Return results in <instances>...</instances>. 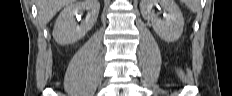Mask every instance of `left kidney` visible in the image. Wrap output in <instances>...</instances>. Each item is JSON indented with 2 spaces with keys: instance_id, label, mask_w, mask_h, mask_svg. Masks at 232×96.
<instances>
[{
  "instance_id": "left-kidney-1",
  "label": "left kidney",
  "mask_w": 232,
  "mask_h": 96,
  "mask_svg": "<svg viewBox=\"0 0 232 96\" xmlns=\"http://www.w3.org/2000/svg\"><path fill=\"white\" fill-rule=\"evenodd\" d=\"M158 3L167 11L165 20L159 19L153 11V6ZM140 9L142 16L151 21L153 29L161 39L174 42L181 37L184 19L174 0H141Z\"/></svg>"
}]
</instances>
